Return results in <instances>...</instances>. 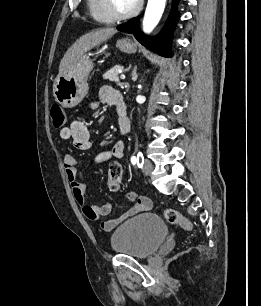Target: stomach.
<instances>
[{"label": "stomach", "instance_id": "1", "mask_svg": "<svg viewBox=\"0 0 261 306\" xmlns=\"http://www.w3.org/2000/svg\"><path fill=\"white\" fill-rule=\"evenodd\" d=\"M116 47L126 53H135L136 45L128 38L117 41ZM94 67L89 56L82 55L63 74L58 75L53 84L55 100L66 108L75 107L88 93V77Z\"/></svg>", "mask_w": 261, "mask_h": 306}]
</instances>
